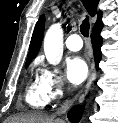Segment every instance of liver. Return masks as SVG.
<instances>
[{
  "mask_svg": "<svg viewBox=\"0 0 118 123\" xmlns=\"http://www.w3.org/2000/svg\"><path fill=\"white\" fill-rule=\"evenodd\" d=\"M4 123H64L62 120L40 113L24 114L7 118Z\"/></svg>",
  "mask_w": 118,
  "mask_h": 123,
  "instance_id": "liver-1",
  "label": "liver"
}]
</instances>
